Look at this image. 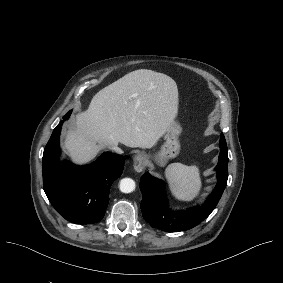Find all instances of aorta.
Listing matches in <instances>:
<instances>
[{
  "label": "aorta",
  "instance_id": "aorta-1",
  "mask_svg": "<svg viewBox=\"0 0 283 283\" xmlns=\"http://www.w3.org/2000/svg\"><path fill=\"white\" fill-rule=\"evenodd\" d=\"M135 181L131 178H123L120 181L119 188L123 193H131L135 190Z\"/></svg>",
  "mask_w": 283,
  "mask_h": 283
}]
</instances>
